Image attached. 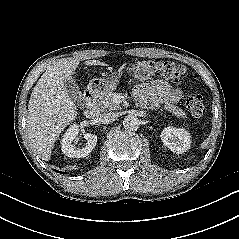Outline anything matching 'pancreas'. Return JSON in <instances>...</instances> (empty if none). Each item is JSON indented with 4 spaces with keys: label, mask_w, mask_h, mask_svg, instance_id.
<instances>
[{
    "label": "pancreas",
    "mask_w": 239,
    "mask_h": 239,
    "mask_svg": "<svg viewBox=\"0 0 239 239\" xmlns=\"http://www.w3.org/2000/svg\"><path fill=\"white\" fill-rule=\"evenodd\" d=\"M121 94L120 93H116L113 91H109L107 93H103L100 97H99V106L101 107V109H107L109 111L112 110H117L120 108L119 103L115 102V99L117 97H120ZM164 109L168 112H171L172 114H174L176 117L178 118H186V114L184 113V111L179 108L178 106L174 105V104H166L164 106Z\"/></svg>",
    "instance_id": "1"
}]
</instances>
